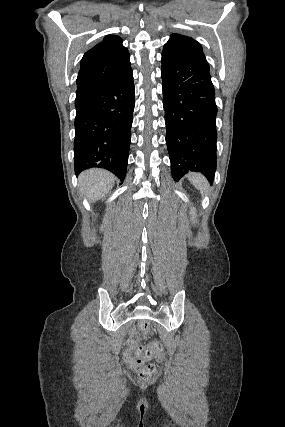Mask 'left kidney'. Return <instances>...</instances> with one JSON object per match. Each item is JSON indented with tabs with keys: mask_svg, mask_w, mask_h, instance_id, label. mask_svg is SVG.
Wrapping results in <instances>:
<instances>
[{
	"mask_svg": "<svg viewBox=\"0 0 285 427\" xmlns=\"http://www.w3.org/2000/svg\"><path fill=\"white\" fill-rule=\"evenodd\" d=\"M191 214H192V218H194V216H195V209L194 208L192 209Z\"/></svg>",
	"mask_w": 285,
	"mask_h": 427,
	"instance_id": "obj_1",
	"label": "left kidney"
}]
</instances>
